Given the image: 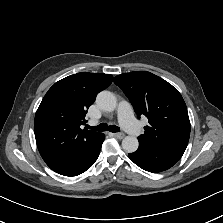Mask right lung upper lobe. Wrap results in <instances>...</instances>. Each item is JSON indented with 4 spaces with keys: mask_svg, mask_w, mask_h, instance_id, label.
Returning a JSON list of instances; mask_svg holds the SVG:
<instances>
[{
    "mask_svg": "<svg viewBox=\"0 0 223 223\" xmlns=\"http://www.w3.org/2000/svg\"><path fill=\"white\" fill-rule=\"evenodd\" d=\"M112 75L81 72L56 82L37 109L34 133L46 164L61 175L79 169L95 150L102 133L85 131L86 109L112 83Z\"/></svg>",
    "mask_w": 223,
    "mask_h": 223,
    "instance_id": "1",
    "label": "right lung upper lobe"
}]
</instances>
